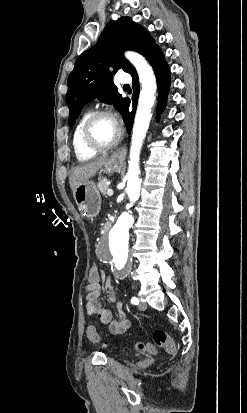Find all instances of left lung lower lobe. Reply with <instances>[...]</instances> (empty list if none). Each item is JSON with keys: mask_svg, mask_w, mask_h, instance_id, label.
<instances>
[{"mask_svg": "<svg viewBox=\"0 0 247 413\" xmlns=\"http://www.w3.org/2000/svg\"><path fill=\"white\" fill-rule=\"evenodd\" d=\"M148 61L151 64L155 72L156 79H157L158 92H159L158 106H157V119H159V115L162 113L167 103V95H168L170 83H171L170 70H169V67L165 61L164 55L162 54L161 50H157L149 58ZM132 78H133L132 87L134 90V95L132 98L133 110L129 112V105H130V100H129L126 111L123 116L124 122L126 123V126H127L128 133H130L132 126H133V120H134L135 110L137 106V98L139 94V79H138L137 73L133 74Z\"/></svg>", "mask_w": 247, "mask_h": 413, "instance_id": "0a47b994", "label": "left lung lower lobe"}]
</instances>
